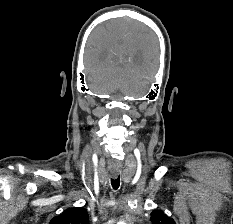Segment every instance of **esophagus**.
I'll list each match as a JSON object with an SVG mask.
<instances>
[{"label":"esophagus","instance_id":"esophagus-1","mask_svg":"<svg viewBox=\"0 0 233 224\" xmlns=\"http://www.w3.org/2000/svg\"><path fill=\"white\" fill-rule=\"evenodd\" d=\"M111 176L113 178H116L118 176V172L117 171H111Z\"/></svg>","mask_w":233,"mask_h":224}]
</instances>
